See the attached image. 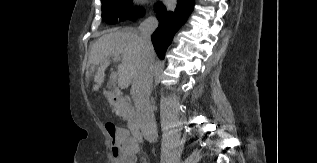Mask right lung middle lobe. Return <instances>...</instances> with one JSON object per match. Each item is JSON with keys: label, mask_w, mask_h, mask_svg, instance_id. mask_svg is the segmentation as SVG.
Listing matches in <instances>:
<instances>
[{"label": "right lung middle lobe", "mask_w": 317, "mask_h": 163, "mask_svg": "<svg viewBox=\"0 0 317 163\" xmlns=\"http://www.w3.org/2000/svg\"><path fill=\"white\" fill-rule=\"evenodd\" d=\"M102 18L111 24H115L118 19H136L144 15L143 8L132 7V0H101Z\"/></svg>", "instance_id": "dd1d6c3e"}]
</instances>
